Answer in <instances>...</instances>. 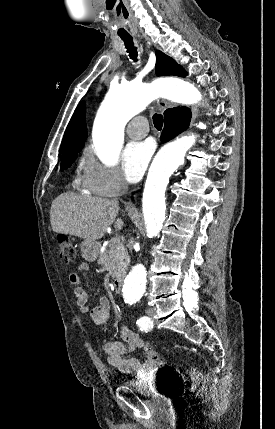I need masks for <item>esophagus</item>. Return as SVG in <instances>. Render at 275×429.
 Returning <instances> with one entry per match:
<instances>
[{"instance_id":"34e87169","label":"esophagus","mask_w":275,"mask_h":429,"mask_svg":"<svg viewBox=\"0 0 275 429\" xmlns=\"http://www.w3.org/2000/svg\"><path fill=\"white\" fill-rule=\"evenodd\" d=\"M157 103H158L159 109L162 112H164L170 106L169 103L164 99L158 100Z\"/></svg>"}]
</instances>
